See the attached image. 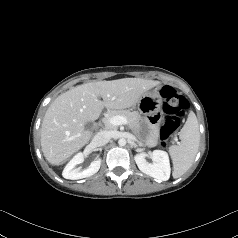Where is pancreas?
Instances as JSON below:
<instances>
[{"instance_id":"pancreas-1","label":"pancreas","mask_w":238,"mask_h":238,"mask_svg":"<svg viewBox=\"0 0 238 238\" xmlns=\"http://www.w3.org/2000/svg\"><path fill=\"white\" fill-rule=\"evenodd\" d=\"M113 116H123L127 119L131 126H136L139 114L137 112H131L129 110H113L107 113L104 118V123L107 129H114V126L109 124L108 120Z\"/></svg>"}]
</instances>
